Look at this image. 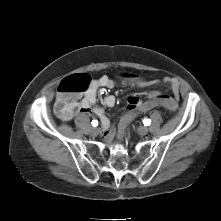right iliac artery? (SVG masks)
<instances>
[{
    "label": "right iliac artery",
    "instance_id": "82829eb1",
    "mask_svg": "<svg viewBox=\"0 0 221 221\" xmlns=\"http://www.w3.org/2000/svg\"><path fill=\"white\" fill-rule=\"evenodd\" d=\"M92 126H94V127L98 126V121L97 120H93L92 121Z\"/></svg>",
    "mask_w": 221,
    "mask_h": 221
}]
</instances>
